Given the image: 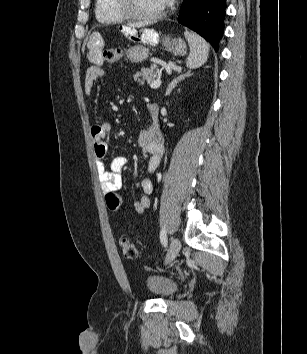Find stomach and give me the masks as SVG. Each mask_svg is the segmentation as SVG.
I'll return each mask as SVG.
<instances>
[{
  "label": "stomach",
  "mask_w": 307,
  "mask_h": 354,
  "mask_svg": "<svg viewBox=\"0 0 307 354\" xmlns=\"http://www.w3.org/2000/svg\"><path fill=\"white\" fill-rule=\"evenodd\" d=\"M125 31V30H124ZM135 43L126 51L127 58L134 63H141L149 57V49L144 45L155 46L161 43L165 49L172 51L176 55L186 53V44L182 39H171L168 36L159 37L152 29H143L139 31L138 38H128Z\"/></svg>",
  "instance_id": "obj_1"
}]
</instances>
